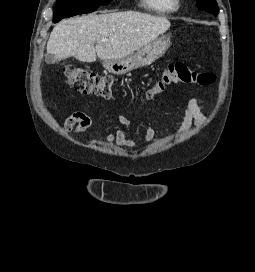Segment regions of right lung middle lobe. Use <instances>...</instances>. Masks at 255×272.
<instances>
[{
  "mask_svg": "<svg viewBox=\"0 0 255 272\" xmlns=\"http://www.w3.org/2000/svg\"><path fill=\"white\" fill-rule=\"evenodd\" d=\"M112 0H58L54 9L53 22L78 14L91 13L100 5H106Z\"/></svg>",
  "mask_w": 255,
  "mask_h": 272,
  "instance_id": "1",
  "label": "right lung middle lobe"
}]
</instances>
